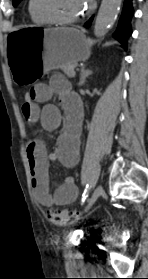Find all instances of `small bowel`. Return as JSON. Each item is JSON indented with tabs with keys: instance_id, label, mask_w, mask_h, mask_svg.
Listing matches in <instances>:
<instances>
[{
	"instance_id": "small-bowel-1",
	"label": "small bowel",
	"mask_w": 148,
	"mask_h": 279,
	"mask_svg": "<svg viewBox=\"0 0 148 279\" xmlns=\"http://www.w3.org/2000/svg\"><path fill=\"white\" fill-rule=\"evenodd\" d=\"M32 90L33 101L22 105V113L29 123L39 122L48 131L57 130L61 126L63 120L61 110L49 104L54 95L58 96L67 122L65 131L57 139L54 151L48 152L40 140H34L27 146L33 194L35 199L45 206L68 205L77 199L79 193L74 178H65L51 194L48 168L50 161H59L69 168L77 164L83 107L69 83L60 75L54 76L50 84L34 85ZM40 104L43 106L40 107Z\"/></svg>"
}]
</instances>
